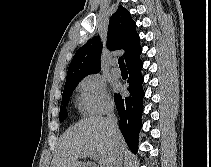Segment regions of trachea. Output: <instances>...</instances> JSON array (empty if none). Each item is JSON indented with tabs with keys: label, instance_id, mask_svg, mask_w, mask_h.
<instances>
[{
	"label": "trachea",
	"instance_id": "1",
	"mask_svg": "<svg viewBox=\"0 0 211 167\" xmlns=\"http://www.w3.org/2000/svg\"><path fill=\"white\" fill-rule=\"evenodd\" d=\"M118 63H119L120 69H126V66H125L123 57H120V58L118 59Z\"/></svg>",
	"mask_w": 211,
	"mask_h": 167
}]
</instances>
